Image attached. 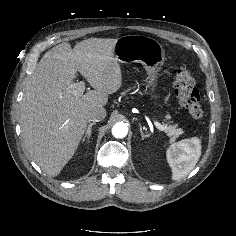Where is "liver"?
Listing matches in <instances>:
<instances>
[{
	"label": "liver",
	"instance_id": "obj_1",
	"mask_svg": "<svg viewBox=\"0 0 236 236\" xmlns=\"http://www.w3.org/2000/svg\"><path fill=\"white\" fill-rule=\"evenodd\" d=\"M117 39L89 38L71 48L61 43L39 61L20 108L24 144L33 161L52 177L73 157L87 128V112L103 107L122 86L114 55ZM77 71L95 90L77 97L67 91Z\"/></svg>",
	"mask_w": 236,
	"mask_h": 236
}]
</instances>
